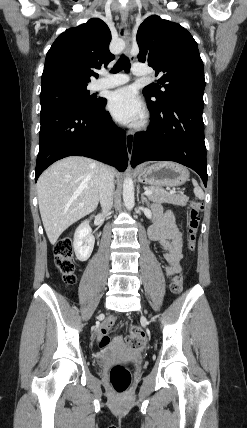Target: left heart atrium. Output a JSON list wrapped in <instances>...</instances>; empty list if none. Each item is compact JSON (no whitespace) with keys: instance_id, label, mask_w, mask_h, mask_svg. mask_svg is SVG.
<instances>
[{"instance_id":"left-heart-atrium-1","label":"left heart atrium","mask_w":247,"mask_h":428,"mask_svg":"<svg viewBox=\"0 0 247 428\" xmlns=\"http://www.w3.org/2000/svg\"><path fill=\"white\" fill-rule=\"evenodd\" d=\"M109 111L120 122L125 124H140L144 117V109L136 92L129 87L113 92L108 103Z\"/></svg>"}]
</instances>
